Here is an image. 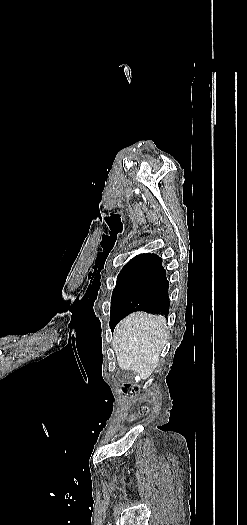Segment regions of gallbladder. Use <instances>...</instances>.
<instances>
[{
	"instance_id": "1",
	"label": "gallbladder",
	"mask_w": 247,
	"mask_h": 525,
	"mask_svg": "<svg viewBox=\"0 0 247 525\" xmlns=\"http://www.w3.org/2000/svg\"><path fill=\"white\" fill-rule=\"evenodd\" d=\"M130 372H131L130 367L127 366V365H124V366L121 367L120 371L117 372L116 377H117V379H119V380H123V379H125V377H126L127 375L130 374Z\"/></svg>"
}]
</instances>
